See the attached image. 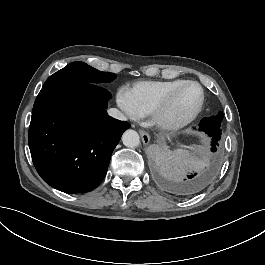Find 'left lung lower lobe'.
I'll list each match as a JSON object with an SVG mask.
<instances>
[{"label": "left lung lower lobe", "instance_id": "0a47b994", "mask_svg": "<svg viewBox=\"0 0 265 265\" xmlns=\"http://www.w3.org/2000/svg\"><path fill=\"white\" fill-rule=\"evenodd\" d=\"M223 113L206 117L200 121L199 130L212 137L210 152H205L202 158L203 172L199 175H187L183 180H177L171 176V172L177 164V160L169 156H163L156 166V177L159 183L167 190L176 194L187 196L201 190L210 180L218 163L217 146L221 138V122Z\"/></svg>", "mask_w": 265, "mask_h": 265}]
</instances>
